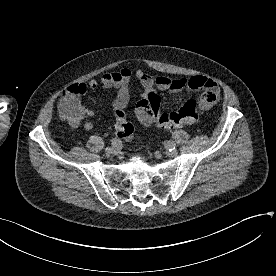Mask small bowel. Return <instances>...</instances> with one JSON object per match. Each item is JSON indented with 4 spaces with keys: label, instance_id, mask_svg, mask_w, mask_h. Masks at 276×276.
<instances>
[{
    "label": "small bowel",
    "instance_id": "small-bowel-1",
    "mask_svg": "<svg viewBox=\"0 0 276 276\" xmlns=\"http://www.w3.org/2000/svg\"><path fill=\"white\" fill-rule=\"evenodd\" d=\"M133 75L139 80L145 93L152 91L154 86H156L159 90L171 92H179L182 90H203V93L199 98V102L203 110H207L214 106L218 102L221 95L218 84L213 79L206 76L195 75L181 78H171L168 76L153 77L141 69L133 72L130 68L123 67L118 71L103 73L98 80L91 79L88 84L78 83L70 86L60 100V112L65 106L68 105L74 106L78 109L79 116L76 119L68 120L69 124L73 127L79 126L82 123L84 116H96L98 111L96 109L86 108L82 104V99L88 89L96 91L99 88L103 90L111 88L116 89L117 96L114 100L113 107L114 109L124 110L129 103V85ZM139 119L144 124L150 125V123L144 122L140 117ZM83 126L86 130H90L92 128L91 122L88 121L84 122Z\"/></svg>",
    "mask_w": 276,
    "mask_h": 276
}]
</instances>
